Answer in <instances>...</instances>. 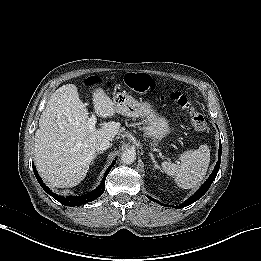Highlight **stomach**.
I'll return each mask as SVG.
<instances>
[{
    "instance_id": "stomach-1",
    "label": "stomach",
    "mask_w": 261,
    "mask_h": 261,
    "mask_svg": "<svg viewBox=\"0 0 261 261\" xmlns=\"http://www.w3.org/2000/svg\"><path fill=\"white\" fill-rule=\"evenodd\" d=\"M113 102L123 115L145 120V132L151 139L152 146H157L159 141L169 133L170 126L167 119L159 115L149 102L138 101L125 93L118 94Z\"/></svg>"
}]
</instances>
